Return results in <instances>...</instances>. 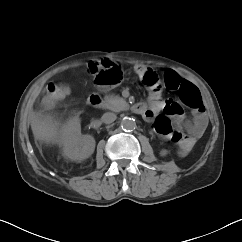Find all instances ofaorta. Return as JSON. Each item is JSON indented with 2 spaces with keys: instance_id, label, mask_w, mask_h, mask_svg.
<instances>
[{
  "instance_id": "aorta-1",
  "label": "aorta",
  "mask_w": 242,
  "mask_h": 242,
  "mask_svg": "<svg viewBox=\"0 0 242 242\" xmlns=\"http://www.w3.org/2000/svg\"><path fill=\"white\" fill-rule=\"evenodd\" d=\"M121 128L124 131H133L136 128V122L133 118L124 117L121 122Z\"/></svg>"
}]
</instances>
